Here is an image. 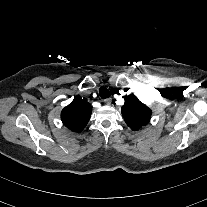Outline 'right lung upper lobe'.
Wrapping results in <instances>:
<instances>
[{"label": "right lung upper lobe", "mask_w": 207, "mask_h": 207, "mask_svg": "<svg viewBox=\"0 0 207 207\" xmlns=\"http://www.w3.org/2000/svg\"><path fill=\"white\" fill-rule=\"evenodd\" d=\"M91 112V105L77 96L62 110L61 120L70 130L80 132L88 123Z\"/></svg>", "instance_id": "1"}]
</instances>
